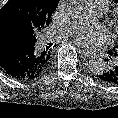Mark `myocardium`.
Instances as JSON below:
<instances>
[{"label":"myocardium","instance_id":"obj_1","mask_svg":"<svg viewBox=\"0 0 118 118\" xmlns=\"http://www.w3.org/2000/svg\"><path fill=\"white\" fill-rule=\"evenodd\" d=\"M113 29H114L115 33L118 34V23L117 22L113 24Z\"/></svg>","mask_w":118,"mask_h":118}]
</instances>
